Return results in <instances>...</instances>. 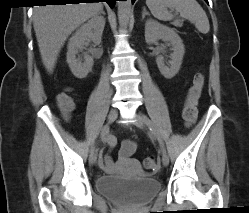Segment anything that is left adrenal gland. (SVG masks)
Masks as SVG:
<instances>
[{
  "label": "left adrenal gland",
  "instance_id": "a2214340",
  "mask_svg": "<svg viewBox=\"0 0 249 213\" xmlns=\"http://www.w3.org/2000/svg\"><path fill=\"white\" fill-rule=\"evenodd\" d=\"M146 15H149V13L147 12L146 8L143 7L142 19H144Z\"/></svg>",
  "mask_w": 249,
  "mask_h": 213
}]
</instances>
